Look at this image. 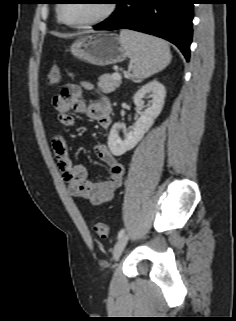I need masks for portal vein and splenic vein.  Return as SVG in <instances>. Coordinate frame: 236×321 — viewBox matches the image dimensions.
I'll return each instance as SVG.
<instances>
[{
	"instance_id": "1",
	"label": "portal vein and splenic vein",
	"mask_w": 236,
	"mask_h": 321,
	"mask_svg": "<svg viewBox=\"0 0 236 321\" xmlns=\"http://www.w3.org/2000/svg\"><path fill=\"white\" fill-rule=\"evenodd\" d=\"M113 78L116 79V80H120V81L122 79L121 75L118 74V73L113 74Z\"/></svg>"
}]
</instances>
